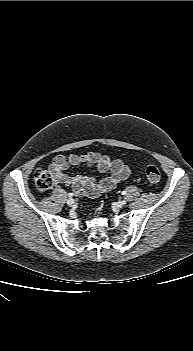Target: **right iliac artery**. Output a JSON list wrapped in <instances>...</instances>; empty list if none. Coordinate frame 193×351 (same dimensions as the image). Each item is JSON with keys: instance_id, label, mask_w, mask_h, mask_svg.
Wrapping results in <instances>:
<instances>
[{"instance_id": "1", "label": "right iliac artery", "mask_w": 193, "mask_h": 351, "mask_svg": "<svg viewBox=\"0 0 193 351\" xmlns=\"http://www.w3.org/2000/svg\"><path fill=\"white\" fill-rule=\"evenodd\" d=\"M74 194L73 193H68V196L69 197H72Z\"/></svg>"}]
</instances>
